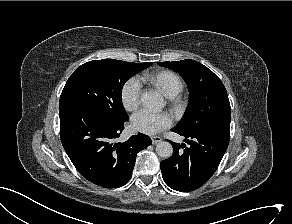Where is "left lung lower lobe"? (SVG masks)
Here are the masks:
<instances>
[{
  "mask_svg": "<svg viewBox=\"0 0 292 224\" xmlns=\"http://www.w3.org/2000/svg\"><path fill=\"white\" fill-rule=\"evenodd\" d=\"M185 142L181 145L171 142L174 153L160 163L165 183L176 191H192L202 186L218 168L227 150L228 134H184ZM181 148L183 150H181Z\"/></svg>",
  "mask_w": 292,
  "mask_h": 224,
  "instance_id": "left-lung-lower-lobe-1",
  "label": "left lung lower lobe"
}]
</instances>
